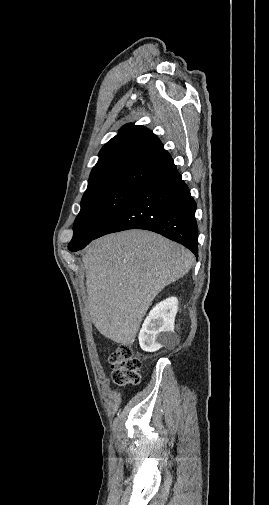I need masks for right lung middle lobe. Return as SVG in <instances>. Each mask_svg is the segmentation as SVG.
I'll list each match as a JSON object with an SVG mask.
<instances>
[{
    "label": "right lung middle lobe",
    "mask_w": 269,
    "mask_h": 505,
    "mask_svg": "<svg viewBox=\"0 0 269 505\" xmlns=\"http://www.w3.org/2000/svg\"><path fill=\"white\" fill-rule=\"evenodd\" d=\"M137 189L126 185H104L87 189L82 197L80 213L74 222V235L68 249L78 251L95 239Z\"/></svg>",
    "instance_id": "1"
}]
</instances>
